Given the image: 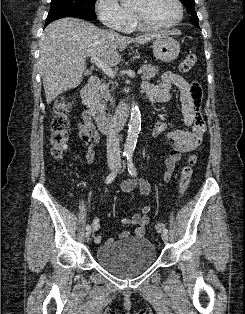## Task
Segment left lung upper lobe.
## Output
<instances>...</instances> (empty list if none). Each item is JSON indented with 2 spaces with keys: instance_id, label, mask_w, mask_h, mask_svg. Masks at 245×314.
<instances>
[{
  "instance_id": "left-lung-upper-lobe-1",
  "label": "left lung upper lobe",
  "mask_w": 245,
  "mask_h": 314,
  "mask_svg": "<svg viewBox=\"0 0 245 314\" xmlns=\"http://www.w3.org/2000/svg\"><path fill=\"white\" fill-rule=\"evenodd\" d=\"M183 5L187 8L188 12L191 14L190 22L194 24L196 27H199V19L197 13L194 9L195 1L194 0H180Z\"/></svg>"
}]
</instances>
